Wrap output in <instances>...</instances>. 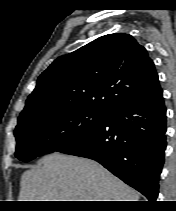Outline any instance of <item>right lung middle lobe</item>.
Here are the masks:
<instances>
[{
  "label": "right lung middle lobe",
  "instance_id": "obj_1",
  "mask_svg": "<svg viewBox=\"0 0 176 211\" xmlns=\"http://www.w3.org/2000/svg\"><path fill=\"white\" fill-rule=\"evenodd\" d=\"M107 113L86 108L49 109L18 119L15 156L30 161L60 151L99 126Z\"/></svg>",
  "mask_w": 176,
  "mask_h": 211
}]
</instances>
